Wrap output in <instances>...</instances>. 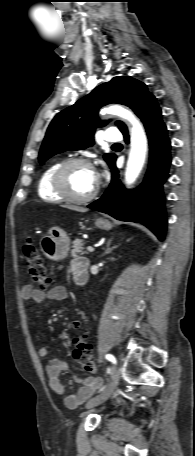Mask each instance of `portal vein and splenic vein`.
<instances>
[{
    "mask_svg": "<svg viewBox=\"0 0 195 456\" xmlns=\"http://www.w3.org/2000/svg\"><path fill=\"white\" fill-rule=\"evenodd\" d=\"M87 250H88L89 252H94V248L91 247V246H88V247H87Z\"/></svg>",
    "mask_w": 195,
    "mask_h": 456,
    "instance_id": "obj_1",
    "label": "portal vein and splenic vein"
}]
</instances>
